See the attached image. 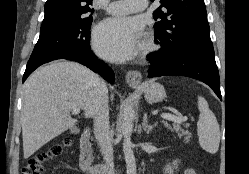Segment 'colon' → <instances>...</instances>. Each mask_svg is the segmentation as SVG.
I'll list each match as a JSON object with an SVG mask.
<instances>
[{
    "label": "colon",
    "mask_w": 249,
    "mask_h": 174,
    "mask_svg": "<svg viewBox=\"0 0 249 174\" xmlns=\"http://www.w3.org/2000/svg\"><path fill=\"white\" fill-rule=\"evenodd\" d=\"M71 144L70 138L66 137L62 143L52 146L46 152H41L33 155L26 163L22 170V174H43L45 163L57 156Z\"/></svg>",
    "instance_id": "obj_1"
}]
</instances>
